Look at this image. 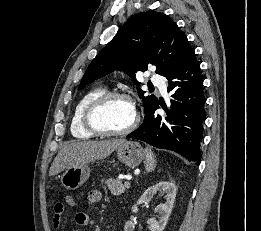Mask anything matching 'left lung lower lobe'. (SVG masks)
Instances as JSON below:
<instances>
[{"label": "left lung lower lobe", "instance_id": "obj_1", "mask_svg": "<svg viewBox=\"0 0 261 231\" xmlns=\"http://www.w3.org/2000/svg\"><path fill=\"white\" fill-rule=\"evenodd\" d=\"M168 92H172L171 109L159 101L145 111L142 125L127 138L142 140L157 148L179 153L189 161L200 164L205 95L200 65L195 55L180 69L166 77ZM159 105L166 115L156 114Z\"/></svg>", "mask_w": 261, "mask_h": 231}]
</instances>
